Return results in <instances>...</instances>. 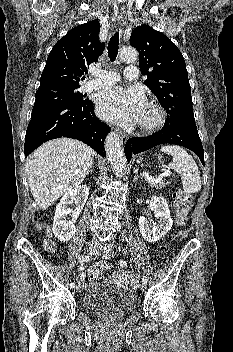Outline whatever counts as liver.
<instances>
[{"mask_svg":"<svg viewBox=\"0 0 233 352\" xmlns=\"http://www.w3.org/2000/svg\"><path fill=\"white\" fill-rule=\"evenodd\" d=\"M95 152L70 138L48 141L28 158L26 170L34 200L46 210L58 198L79 186L93 164Z\"/></svg>","mask_w":233,"mask_h":352,"instance_id":"6515ba94","label":"liver"}]
</instances>
